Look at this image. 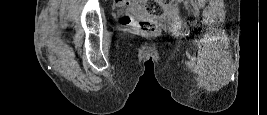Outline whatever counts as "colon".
Here are the masks:
<instances>
[{"mask_svg":"<svg viewBox=\"0 0 267 115\" xmlns=\"http://www.w3.org/2000/svg\"><path fill=\"white\" fill-rule=\"evenodd\" d=\"M147 2L148 12L155 17H161L163 7L171 4L174 0H149ZM132 20L134 21L137 32L143 36H155L160 32V28L155 22L144 19H132L130 12L123 9L120 14V21L123 24H129Z\"/></svg>","mask_w":267,"mask_h":115,"instance_id":"colon-1","label":"colon"}]
</instances>
